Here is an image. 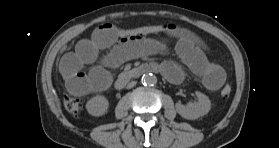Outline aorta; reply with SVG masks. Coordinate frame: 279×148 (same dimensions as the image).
Returning a JSON list of instances; mask_svg holds the SVG:
<instances>
[{"label": "aorta", "mask_w": 279, "mask_h": 148, "mask_svg": "<svg viewBox=\"0 0 279 148\" xmlns=\"http://www.w3.org/2000/svg\"><path fill=\"white\" fill-rule=\"evenodd\" d=\"M141 81L143 85L153 86L157 83V78L152 73L143 74Z\"/></svg>", "instance_id": "762f6f07"}]
</instances>
